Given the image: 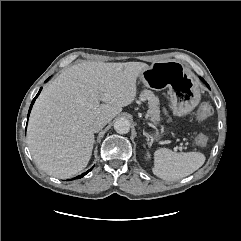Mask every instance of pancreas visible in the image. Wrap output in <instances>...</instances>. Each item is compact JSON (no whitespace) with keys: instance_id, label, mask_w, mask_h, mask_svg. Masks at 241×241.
Returning <instances> with one entry per match:
<instances>
[{"instance_id":"obj_1","label":"pancreas","mask_w":241,"mask_h":241,"mask_svg":"<svg viewBox=\"0 0 241 241\" xmlns=\"http://www.w3.org/2000/svg\"><path fill=\"white\" fill-rule=\"evenodd\" d=\"M141 100H148L149 110L146 114V118L153 123H158L160 121V109H159V99L150 90H144L140 94Z\"/></svg>"}]
</instances>
